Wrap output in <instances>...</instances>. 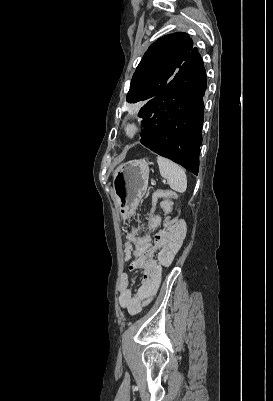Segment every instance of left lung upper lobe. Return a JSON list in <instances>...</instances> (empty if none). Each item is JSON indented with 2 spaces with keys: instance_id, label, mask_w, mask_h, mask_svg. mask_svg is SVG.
<instances>
[{
  "instance_id": "5c2ea615",
  "label": "left lung upper lobe",
  "mask_w": 273,
  "mask_h": 401,
  "mask_svg": "<svg viewBox=\"0 0 273 401\" xmlns=\"http://www.w3.org/2000/svg\"><path fill=\"white\" fill-rule=\"evenodd\" d=\"M193 49V41L186 33L177 32L154 42L136 68L126 101H149L171 80Z\"/></svg>"
}]
</instances>
